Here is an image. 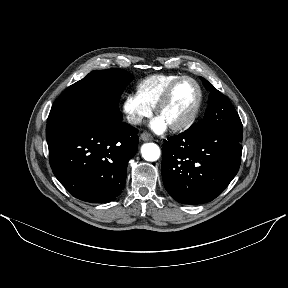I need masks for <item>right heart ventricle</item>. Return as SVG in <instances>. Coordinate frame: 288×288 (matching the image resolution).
I'll return each mask as SVG.
<instances>
[{
  "instance_id": "e07e8e85",
  "label": "right heart ventricle",
  "mask_w": 288,
  "mask_h": 288,
  "mask_svg": "<svg viewBox=\"0 0 288 288\" xmlns=\"http://www.w3.org/2000/svg\"><path fill=\"white\" fill-rule=\"evenodd\" d=\"M176 74L150 75L138 82L137 97L150 108H154L168 85L178 78Z\"/></svg>"
}]
</instances>
